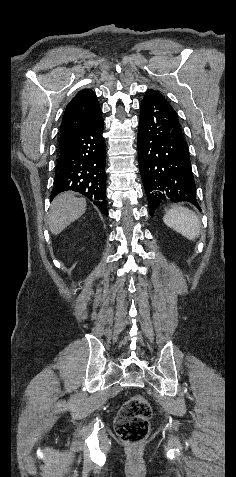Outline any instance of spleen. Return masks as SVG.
Masks as SVG:
<instances>
[{"label": "spleen", "instance_id": "3e777b00", "mask_svg": "<svg viewBox=\"0 0 236 477\" xmlns=\"http://www.w3.org/2000/svg\"><path fill=\"white\" fill-rule=\"evenodd\" d=\"M163 221L168 227L189 240L198 238L200 235V220L194 212L187 208L176 207L169 210L164 216Z\"/></svg>", "mask_w": 236, "mask_h": 477}]
</instances>
